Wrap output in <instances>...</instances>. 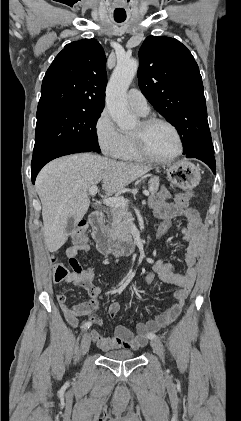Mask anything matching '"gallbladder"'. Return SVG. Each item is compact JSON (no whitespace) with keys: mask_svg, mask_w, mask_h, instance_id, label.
<instances>
[{"mask_svg":"<svg viewBox=\"0 0 241 421\" xmlns=\"http://www.w3.org/2000/svg\"><path fill=\"white\" fill-rule=\"evenodd\" d=\"M75 225H76V219L74 217H70L67 221L66 228H65L67 236L70 235V233L75 229Z\"/></svg>","mask_w":241,"mask_h":421,"instance_id":"obj_1","label":"gallbladder"}]
</instances>
